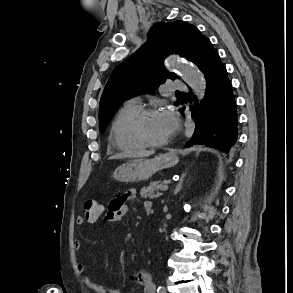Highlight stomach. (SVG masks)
<instances>
[{"label":"stomach","instance_id":"1","mask_svg":"<svg viewBox=\"0 0 293 293\" xmlns=\"http://www.w3.org/2000/svg\"><path fill=\"white\" fill-rule=\"evenodd\" d=\"M179 162L174 152H168L153 159H134L119 166L113 174L122 182H141L151 178L156 172L171 168Z\"/></svg>","mask_w":293,"mask_h":293}]
</instances>
